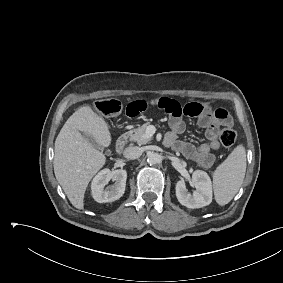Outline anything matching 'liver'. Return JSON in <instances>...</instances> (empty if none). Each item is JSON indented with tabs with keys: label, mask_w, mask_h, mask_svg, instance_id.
Returning a JSON list of instances; mask_svg holds the SVG:
<instances>
[{
	"label": "liver",
	"mask_w": 283,
	"mask_h": 283,
	"mask_svg": "<svg viewBox=\"0 0 283 283\" xmlns=\"http://www.w3.org/2000/svg\"><path fill=\"white\" fill-rule=\"evenodd\" d=\"M92 136L101 147L111 143L109 126L90 106L80 107L65 122L55 141L54 173L71 204L84 207V194L106 157L83 136Z\"/></svg>",
	"instance_id": "6515ba94"
}]
</instances>
